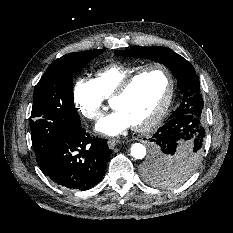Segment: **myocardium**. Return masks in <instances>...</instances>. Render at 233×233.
<instances>
[{
    "instance_id": "myocardium-1",
    "label": "myocardium",
    "mask_w": 233,
    "mask_h": 233,
    "mask_svg": "<svg viewBox=\"0 0 233 233\" xmlns=\"http://www.w3.org/2000/svg\"><path fill=\"white\" fill-rule=\"evenodd\" d=\"M153 69H160L162 70L168 79V89H167V94L166 97L161 105V107L158 109V111L145 123L139 124V125H134L133 129L138 132H146L151 129H153L155 126L159 124V122L163 119L165 114L167 113L171 103L172 99L174 96V90H175V82L173 75L171 71L164 66L163 64L155 63V64H149L146 66H143L141 69L127 77L121 85L118 87V89L115 91V93L112 95L110 102L112 104L113 101L120 99L124 97L132 85L135 83V81L142 76L145 72Z\"/></svg>"
}]
</instances>
